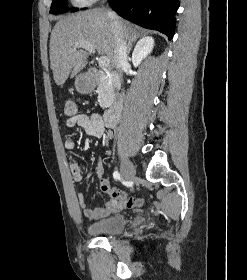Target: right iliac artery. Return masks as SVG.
<instances>
[{
	"label": "right iliac artery",
	"instance_id": "1",
	"mask_svg": "<svg viewBox=\"0 0 247 280\" xmlns=\"http://www.w3.org/2000/svg\"><path fill=\"white\" fill-rule=\"evenodd\" d=\"M113 177H114L115 180H119V179H120V174H119V172H118V171H115V172L113 173Z\"/></svg>",
	"mask_w": 247,
	"mask_h": 280
}]
</instances>
